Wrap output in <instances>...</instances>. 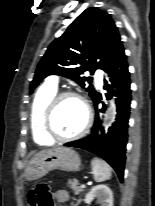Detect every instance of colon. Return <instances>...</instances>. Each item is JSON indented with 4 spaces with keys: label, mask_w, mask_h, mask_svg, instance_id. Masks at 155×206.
Wrapping results in <instances>:
<instances>
[{
    "label": "colon",
    "mask_w": 155,
    "mask_h": 206,
    "mask_svg": "<svg viewBox=\"0 0 155 206\" xmlns=\"http://www.w3.org/2000/svg\"><path fill=\"white\" fill-rule=\"evenodd\" d=\"M31 206H51V195L46 184H39L28 193Z\"/></svg>",
    "instance_id": "5ec220e1"
}]
</instances>
